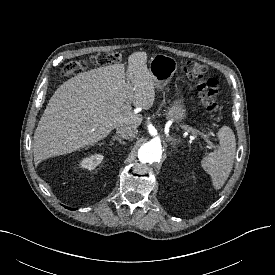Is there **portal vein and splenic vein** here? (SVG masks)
I'll return each mask as SVG.
<instances>
[{
    "instance_id": "18ae733b",
    "label": "portal vein and splenic vein",
    "mask_w": 275,
    "mask_h": 275,
    "mask_svg": "<svg viewBox=\"0 0 275 275\" xmlns=\"http://www.w3.org/2000/svg\"><path fill=\"white\" fill-rule=\"evenodd\" d=\"M124 109H131V100H128V102H127V103L125 104V106H124ZM186 129H187V130H190L189 127H186ZM207 143H208L210 146L215 147V145H214L211 141L207 140Z\"/></svg>"
}]
</instances>
